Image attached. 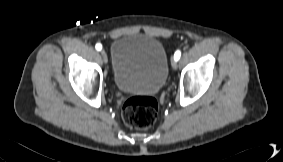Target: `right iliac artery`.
<instances>
[{"label":"right iliac artery","mask_w":283,"mask_h":162,"mask_svg":"<svg viewBox=\"0 0 283 162\" xmlns=\"http://www.w3.org/2000/svg\"><path fill=\"white\" fill-rule=\"evenodd\" d=\"M96 50L100 51L102 49V45L100 43L96 44Z\"/></svg>","instance_id":"1"}]
</instances>
